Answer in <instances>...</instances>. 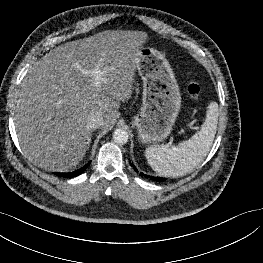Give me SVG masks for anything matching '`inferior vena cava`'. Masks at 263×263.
I'll list each match as a JSON object with an SVG mask.
<instances>
[{
  "instance_id": "obj_1",
  "label": "inferior vena cava",
  "mask_w": 263,
  "mask_h": 263,
  "mask_svg": "<svg viewBox=\"0 0 263 263\" xmlns=\"http://www.w3.org/2000/svg\"><path fill=\"white\" fill-rule=\"evenodd\" d=\"M103 124V117L100 113H92L87 117V128L90 130L98 129Z\"/></svg>"
}]
</instances>
